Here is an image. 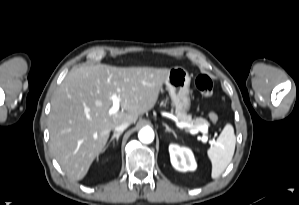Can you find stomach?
<instances>
[{
  "label": "stomach",
  "instance_id": "0dacf381",
  "mask_svg": "<svg viewBox=\"0 0 299 205\" xmlns=\"http://www.w3.org/2000/svg\"><path fill=\"white\" fill-rule=\"evenodd\" d=\"M189 73L183 67H174L170 69L165 85L169 91L173 105L176 111L187 113L191 107Z\"/></svg>",
  "mask_w": 299,
  "mask_h": 205
}]
</instances>
